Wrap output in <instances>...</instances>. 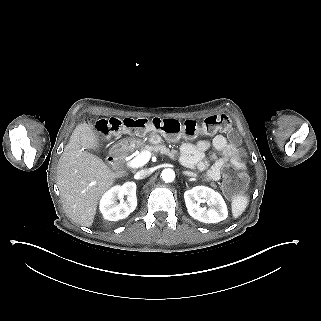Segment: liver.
<instances>
[{
  "label": "liver",
  "instance_id": "obj_1",
  "mask_svg": "<svg viewBox=\"0 0 321 321\" xmlns=\"http://www.w3.org/2000/svg\"><path fill=\"white\" fill-rule=\"evenodd\" d=\"M98 146V136L91 126L77 125L57 167L64 211L72 221L85 227L92 225L99 199L117 177L102 159L85 151Z\"/></svg>",
  "mask_w": 321,
  "mask_h": 321
}]
</instances>
